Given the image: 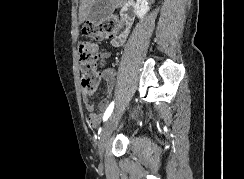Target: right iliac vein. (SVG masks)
<instances>
[{"mask_svg": "<svg viewBox=\"0 0 244 179\" xmlns=\"http://www.w3.org/2000/svg\"><path fill=\"white\" fill-rule=\"evenodd\" d=\"M116 120V113H113L109 119L106 121L101 136H100V140H99V144H98V152H99V156L100 158H103L104 155V151L106 148V145L108 143L112 128L114 126Z\"/></svg>", "mask_w": 244, "mask_h": 179, "instance_id": "right-iliac-vein-1", "label": "right iliac vein"}]
</instances>
